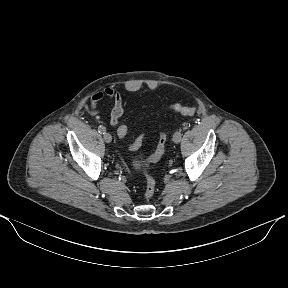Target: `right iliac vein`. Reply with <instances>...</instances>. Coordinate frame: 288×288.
I'll use <instances>...</instances> for the list:
<instances>
[{"label": "right iliac vein", "instance_id": "1", "mask_svg": "<svg viewBox=\"0 0 288 288\" xmlns=\"http://www.w3.org/2000/svg\"><path fill=\"white\" fill-rule=\"evenodd\" d=\"M103 138H104V141L106 142V143H110L111 141H112V136H111V134L110 133H104V135H103Z\"/></svg>", "mask_w": 288, "mask_h": 288}]
</instances>
